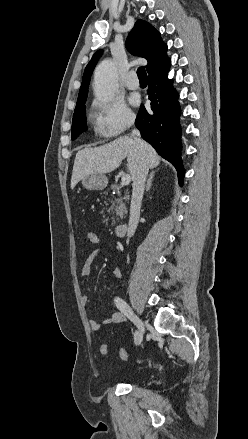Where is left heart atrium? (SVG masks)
<instances>
[{"label":"left heart atrium","instance_id":"left-heart-atrium-1","mask_svg":"<svg viewBox=\"0 0 248 439\" xmlns=\"http://www.w3.org/2000/svg\"><path fill=\"white\" fill-rule=\"evenodd\" d=\"M132 102H133L134 104H136V103H137V100H136V99H133Z\"/></svg>","mask_w":248,"mask_h":439}]
</instances>
